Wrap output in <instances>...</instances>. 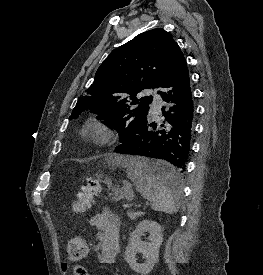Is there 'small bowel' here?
Returning <instances> with one entry per match:
<instances>
[{
	"instance_id": "1",
	"label": "small bowel",
	"mask_w": 263,
	"mask_h": 275,
	"mask_svg": "<svg viewBox=\"0 0 263 275\" xmlns=\"http://www.w3.org/2000/svg\"><path fill=\"white\" fill-rule=\"evenodd\" d=\"M89 224L98 232L101 263H113L120 251V218L110 209L104 208L90 218Z\"/></svg>"
}]
</instances>
